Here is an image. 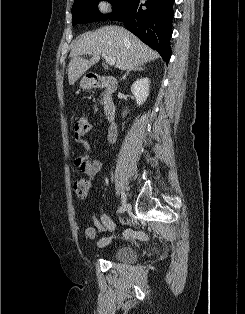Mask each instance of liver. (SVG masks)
<instances>
[{
	"instance_id": "liver-1",
	"label": "liver",
	"mask_w": 245,
	"mask_h": 314,
	"mask_svg": "<svg viewBox=\"0 0 245 314\" xmlns=\"http://www.w3.org/2000/svg\"><path fill=\"white\" fill-rule=\"evenodd\" d=\"M85 54L92 59L82 58ZM101 54L114 57L116 68L129 70L159 58V54L144 44L127 29L115 25L104 26L82 35L70 52L68 65L69 84L73 85L91 66L97 63Z\"/></svg>"
}]
</instances>
